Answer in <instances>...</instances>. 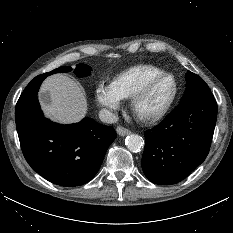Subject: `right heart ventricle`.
<instances>
[{"label":"right heart ventricle","instance_id":"e07e8e85","mask_svg":"<svg viewBox=\"0 0 233 233\" xmlns=\"http://www.w3.org/2000/svg\"><path fill=\"white\" fill-rule=\"evenodd\" d=\"M164 71L153 65L133 66L118 74L113 86L122 99H129L151 78Z\"/></svg>","mask_w":233,"mask_h":233}]
</instances>
